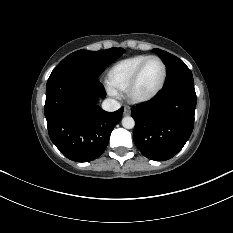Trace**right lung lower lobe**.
Masks as SVG:
<instances>
[{"mask_svg":"<svg viewBox=\"0 0 233 233\" xmlns=\"http://www.w3.org/2000/svg\"><path fill=\"white\" fill-rule=\"evenodd\" d=\"M104 96V89L95 77L61 75L48 79L44 108L48 133L68 159L92 161L107 147L124 109L102 110L97 102Z\"/></svg>","mask_w":233,"mask_h":233,"instance_id":"1","label":"right lung lower lobe"}]
</instances>
